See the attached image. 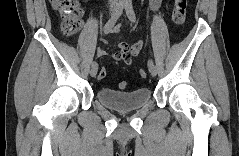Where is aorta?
Returning a JSON list of instances; mask_svg holds the SVG:
<instances>
[{"label": "aorta", "mask_w": 239, "mask_h": 156, "mask_svg": "<svg viewBox=\"0 0 239 156\" xmlns=\"http://www.w3.org/2000/svg\"><path fill=\"white\" fill-rule=\"evenodd\" d=\"M121 3L124 4V5H131L132 0H121Z\"/></svg>", "instance_id": "1"}]
</instances>
